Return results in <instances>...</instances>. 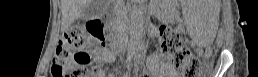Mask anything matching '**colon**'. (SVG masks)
<instances>
[{
    "mask_svg": "<svg viewBox=\"0 0 258 77\" xmlns=\"http://www.w3.org/2000/svg\"><path fill=\"white\" fill-rule=\"evenodd\" d=\"M154 35L171 62L182 69L186 77H198L205 69L200 59L182 45L180 36L165 25L154 28ZM102 27L89 36L76 25L63 34L53 57V77H89L92 74L90 48L96 41L104 42Z\"/></svg>",
    "mask_w": 258,
    "mask_h": 77,
    "instance_id": "5ec220e1",
    "label": "colon"
}]
</instances>
